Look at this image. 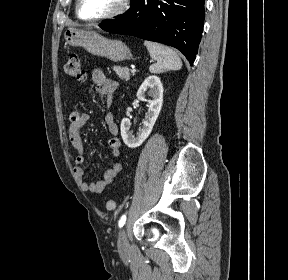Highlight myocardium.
I'll return each instance as SVG.
<instances>
[{
    "label": "myocardium",
    "mask_w": 288,
    "mask_h": 280,
    "mask_svg": "<svg viewBox=\"0 0 288 280\" xmlns=\"http://www.w3.org/2000/svg\"><path fill=\"white\" fill-rule=\"evenodd\" d=\"M80 4H81V0H76L75 12H76L77 17L82 21L95 23V22H102V21L111 20V19H114V18H117V17L123 15L129 8L130 0H122L120 5L115 10H113L112 12H110L106 15L96 17V18L83 17L80 13Z\"/></svg>",
    "instance_id": "obj_1"
}]
</instances>
